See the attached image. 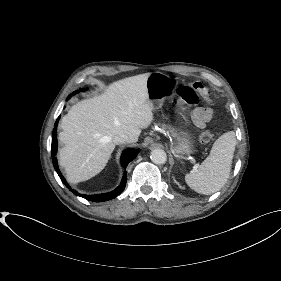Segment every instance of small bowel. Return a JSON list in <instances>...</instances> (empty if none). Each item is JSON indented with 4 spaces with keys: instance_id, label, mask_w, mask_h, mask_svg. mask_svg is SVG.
<instances>
[{
    "instance_id": "obj_1",
    "label": "small bowel",
    "mask_w": 281,
    "mask_h": 281,
    "mask_svg": "<svg viewBox=\"0 0 281 281\" xmlns=\"http://www.w3.org/2000/svg\"><path fill=\"white\" fill-rule=\"evenodd\" d=\"M212 111L209 108H196L193 111V120L198 128H204L206 123L211 119Z\"/></svg>"
}]
</instances>
